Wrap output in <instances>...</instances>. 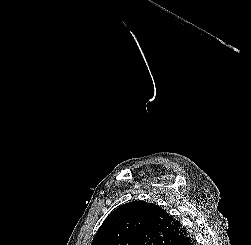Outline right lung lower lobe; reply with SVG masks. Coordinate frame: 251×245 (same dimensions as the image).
Wrapping results in <instances>:
<instances>
[{
	"label": "right lung lower lobe",
	"mask_w": 251,
	"mask_h": 245,
	"mask_svg": "<svg viewBox=\"0 0 251 245\" xmlns=\"http://www.w3.org/2000/svg\"><path fill=\"white\" fill-rule=\"evenodd\" d=\"M172 245H195L193 238L186 232V235L172 243Z\"/></svg>",
	"instance_id": "98d812e1"
}]
</instances>
